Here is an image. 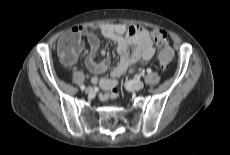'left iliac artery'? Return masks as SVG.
I'll list each match as a JSON object with an SVG mask.
<instances>
[{
	"label": "left iliac artery",
	"instance_id": "left-iliac-artery-1",
	"mask_svg": "<svg viewBox=\"0 0 230 155\" xmlns=\"http://www.w3.org/2000/svg\"><path fill=\"white\" fill-rule=\"evenodd\" d=\"M147 72H148V73H151V69H147Z\"/></svg>",
	"mask_w": 230,
	"mask_h": 155
}]
</instances>
